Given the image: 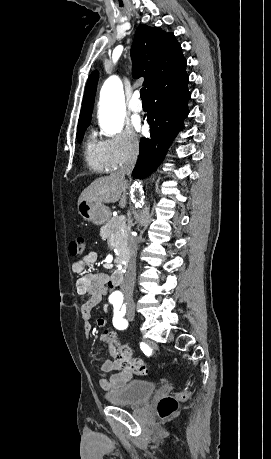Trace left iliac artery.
<instances>
[{"label":"left iliac artery","mask_w":271,"mask_h":459,"mask_svg":"<svg viewBox=\"0 0 271 459\" xmlns=\"http://www.w3.org/2000/svg\"><path fill=\"white\" fill-rule=\"evenodd\" d=\"M114 317H113V325L119 329L124 330L128 326V321L123 319V316L126 314L125 307H119L118 305L114 304Z\"/></svg>","instance_id":"left-iliac-artery-1"}]
</instances>
